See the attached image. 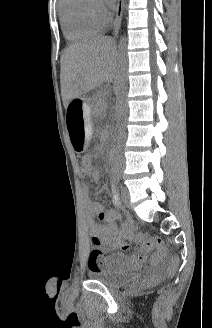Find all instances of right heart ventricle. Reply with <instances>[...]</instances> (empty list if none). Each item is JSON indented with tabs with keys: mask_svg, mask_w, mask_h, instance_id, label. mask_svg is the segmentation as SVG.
I'll return each mask as SVG.
<instances>
[{
	"mask_svg": "<svg viewBox=\"0 0 212 328\" xmlns=\"http://www.w3.org/2000/svg\"><path fill=\"white\" fill-rule=\"evenodd\" d=\"M59 11L64 34L72 41L93 37L106 24L92 0H60Z\"/></svg>",
	"mask_w": 212,
	"mask_h": 328,
	"instance_id": "e07e8e85",
	"label": "right heart ventricle"
}]
</instances>
